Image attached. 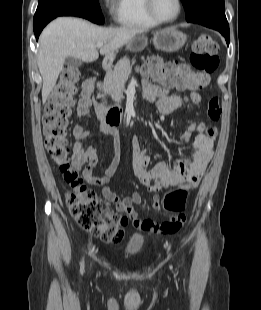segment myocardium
Wrapping results in <instances>:
<instances>
[{
    "instance_id": "obj_1",
    "label": "myocardium",
    "mask_w": 261,
    "mask_h": 310,
    "mask_svg": "<svg viewBox=\"0 0 261 310\" xmlns=\"http://www.w3.org/2000/svg\"><path fill=\"white\" fill-rule=\"evenodd\" d=\"M176 2H177V12L174 15V17H172L170 19H164V18H161L160 16L157 15V13L155 12V9H154V0H145V8H146V11L149 14V16L153 20H155L157 23L168 24V23H172V22L176 21L181 14L182 1L176 0Z\"/></svg>"
}]
</instances>
